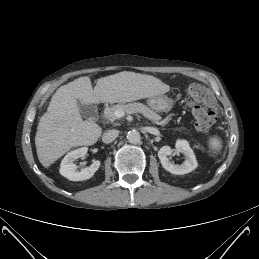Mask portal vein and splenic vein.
Instances as JSON below:
<instances>
[{
  "label": "portal vein and splenic vein",
  "mask_w": 259,
  "mask_h": 259,
  "mask_svg": "<svg viewBox=\"0 0 259 259\" xmlns=\"http://www.w3.org/2000/svg\"><path fill=\"white\" fill-rule=\"evenodd\" d=\"M125 115V112L123 111V110H117V111H115V116L117 117V118H121V117H123Z\"/></svg>",
  "instance_id": "portal-vein-and-splenic-vein-1"
}]
</instances>
